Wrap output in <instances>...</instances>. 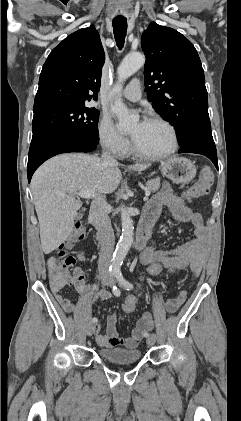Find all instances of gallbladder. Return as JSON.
I'll return each mask as SVG.
<instances>
[{
	"label": "gallbladder",
	"instance_id": "obj_1",
	"mask_svg": "<svg viewBox=\"0 0 241 421\" xmlns=\"http://www.w3.org/2000/svg\"><path fill=\"white\" fill-rule=\"evenodd\" d=\"M81 218H82V213L81 212L77 213L76 216H75V219L79 220Z\"/></svg>",
	"mask_w": 241,
	"mask_h": 421
}]
</instances>
